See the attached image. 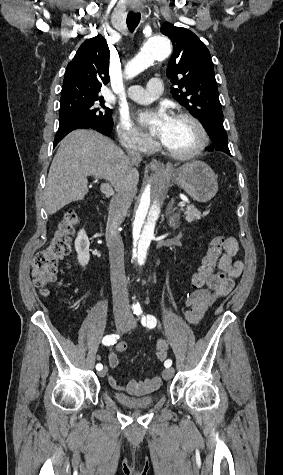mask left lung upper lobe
Masks as SVG:
<instances>
[{
  "instance_id": "1",
  "label": "left lung upper lobe",
  "mask_w": 283,
  "mask_h": 475,
  "mask_svg": "<svg viewBox=\"0 0 283 475\" xmlns=\"http://www.w3.org/2000/svg\"><path fill=\"white\" fill-rule=\"evenodd\" d=\"M161 32L174 46L168 62L167 77L173 85L172 96L186 107L206 128L207 124L223 123L213 62L210 52L190 30L165 23Z\"/></svg>"
}]
</instances>
